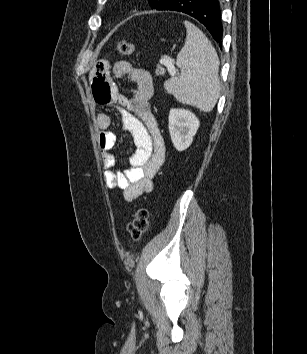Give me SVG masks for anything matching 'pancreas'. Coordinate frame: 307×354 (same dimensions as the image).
<instances>
[{
	"instance_id": "1",
	"label": "pancreas",
	"mask_w": 307,
	"mask_h": 354,
	"mask_svg": "<svg viewBox=\"0 0 307 354\" xmlns=\"http://www.w3.org/2000/svg\"><path fill=\"white\" fill-rule=\"evenodd\" d=\"M156 75L157 76L165 75V69L160 64L157 66Z\"/></svg>"
}]
</instances>
